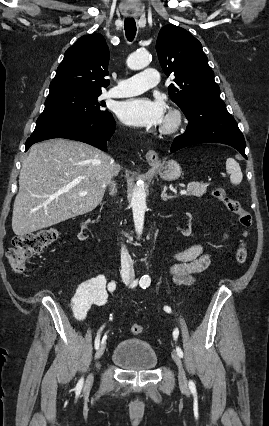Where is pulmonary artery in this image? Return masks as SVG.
<instances>
[{"label":"pulmonary artery","instance_id":"pulmonary-artery-1","mask_svg":"<svg viewBox=\"0 0 269 426\" xmlns=\"http://www.w3.org/2000/svg\"><path fill=\"white\" fill-rule=\"evenodd\" d=\"M159 83V72L153 68H146L129 78L120 79L117 85L109 90L108 95L115 98L128 97L140 94Z\"/></svg>","mask_w":269,"mask_h":426}]
</instances>
